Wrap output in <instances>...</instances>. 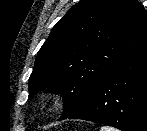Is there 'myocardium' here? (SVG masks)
<instances>
[{"mask_svg": "<svg viewBox=\"0 0 147 131\" xmlns=\"http://www.w3.org/2000/svg\"><path fill=\"white\" fill-rule=\"evenodd\" d=\"M59 101H60L59 96L56 94H49L45 99L46 104L50 106L57 105Z\"/></svg>", "mask_w": 147, "mask_h": 131, "instance_id": "myocardium-1", "label": "myocardium"}]
</instances>
